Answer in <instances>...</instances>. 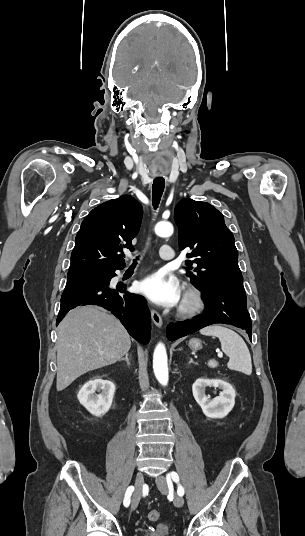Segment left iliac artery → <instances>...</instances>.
Returning <instances> with one entry per match:
<instances>
[{"label":"left iliac artery","mask_w":305,"mask_h":536,"mask_svg":"<svg viewBox=\"0 0 305 536\" xmlns=\"http://www.w3.org/2000/svg\"><path fill=\"white\" fill-rule=\"evenodd\" d=\"M167 484L171 483V478L174 482H176L178 484V490H177V493L179 496H183L184 495V489L183 487L179 484V476L176 472H171V473H168L167 476Z\"/></svg>","instance_id":"44dca946"}]
</instances>
